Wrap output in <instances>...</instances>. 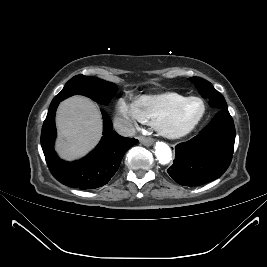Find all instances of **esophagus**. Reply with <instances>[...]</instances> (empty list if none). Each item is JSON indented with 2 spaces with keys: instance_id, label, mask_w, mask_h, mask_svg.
<instances>
[{
  "instance_id": "34e87169",
  "label": "esophagus",
  "mask_w": 267,
  "mask_h": 267,
  "mask_svg": "<svg viewBox=\"0 0 267 267\" xmlns=\"http://www.w3.org/2000/svg\"><path fill=\"white\" fill-rule=\"evenodd\" d=\"M139 141H140L142 144L146 145V146H150V145L154 142V140H153L152 138H149V137H143V136H140V137H139Z\"/></svg>"
}]
</instances>
